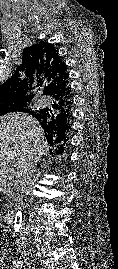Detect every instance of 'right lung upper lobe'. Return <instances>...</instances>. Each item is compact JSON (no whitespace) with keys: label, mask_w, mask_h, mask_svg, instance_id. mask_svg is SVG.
<instances>
[{"label":"right lung upper lobe","mask_w":118,"mask_h":269,"mask_svg":"<svg viewBox=\"0 0 118 269\" xmlns=\"http://www.w3.org/2000/svg\"><path fill=\"white\" fill-rule=\"evenodd\" d=\"M24 72V78L20 77ZM67 65L52 44L39 43L26 47L22 65L14 75L0 85V106L28 102L23 111L41 123L48 141L56 134L66 132L70 126L71 91ZM38 89L49 100L47 106L31 108L30 103Z\"/></svg>","instance_id":"cb5924a9"}]
</instances>
